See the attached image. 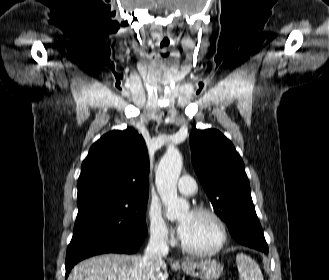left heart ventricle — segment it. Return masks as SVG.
<instances>
[{
    "instance_id": "left-heart-ventricle-1",
    "label": "left heart ventricle",
    "mask_w": 329,
    "mask_h": 280,
    "mask_svg": "<svg viewBox=\"0 0 329 280\" xmlns=\"http://www.w3.org/2000/svg\"><path fill=\"white\" fill-rule=\"evenodd\" d=\"M179 222L185 225L181 238L188 246L210 249L217 244L219 229L210 217L186 211L179 217Z\"/></svg>"
}]
</instances>
